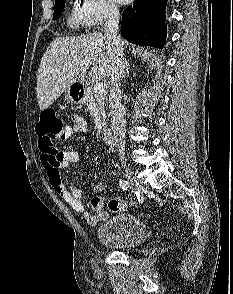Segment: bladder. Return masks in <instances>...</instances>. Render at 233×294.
Returning a JSON list of instances; mask_svg holds the SVG:
<instances>
[{"mask_svg": "<svg viewBox=\"0 0 233 294\" xmlns=\"http://www.w3.org/2000/svg\"><path fill=\"white\" fill-rule=\"evenodd\" d=\"M146 224L131 214H118L102 222L96 229L97 239L106 247L131 250L149 238Z\"/></svg>", "mask_w": 233, "mask_h": 294, "instance_id": "bladder-1", "label": "bladder"}]
</instances>
